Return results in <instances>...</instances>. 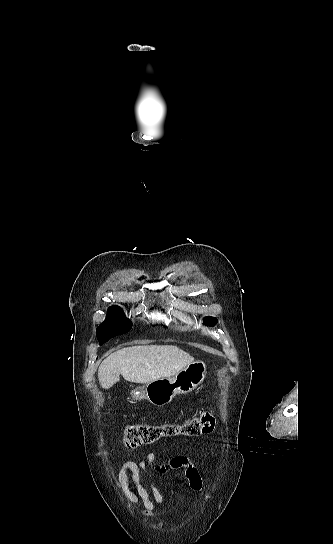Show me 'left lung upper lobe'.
Segmentation results:
<instances>
[{
  "label": "left lung upper lobe",
  "mask_w": 333,
  "mask_h": 544,
  "mask_svg": "<svg viewBox=\"0 0 333 544\" xmlns=\"http://www.w3.org/2000/svg\"><path fill=\"white\" fill-rule=\"evenodd\" d=\"M215 323H216V318H212V317H207L206 321H204V324L209 326H213L215 325Z\"/></svg>",
  "instance_id": "left-lung-upper-lobe-1"
}]
</instances>
